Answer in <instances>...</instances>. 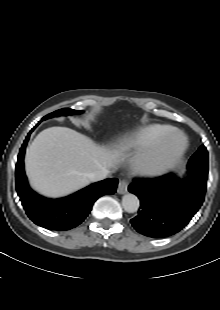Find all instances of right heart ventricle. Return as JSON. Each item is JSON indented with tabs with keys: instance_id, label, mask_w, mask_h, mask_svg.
Wrapping results in <instances>:
<instances>
[{
	"instance_id": "right-heart-ventricle-1",
	"label": "right heart ventricle",
	"mask_w": 220,
	"mask_h": 310,
	"mask_svg": "<svg viewBox=\"0 0 220 310\" xmlns=\"http://www.w3.org/2000/svg\"><path fill=\"white\" fill-rule=\"evenodd\" d=\"M173 128L162 124L144 126L121 142L123 149L148 150Z\"/></svg>"
}]
</instances>
